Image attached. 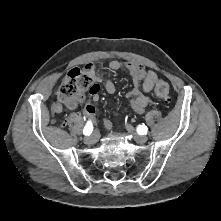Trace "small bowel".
Returning a JSON list of instances; mask_svg holds the SVG:
<instances>
[{"label": "small bowel", "mask_w": 221, "mask_h": 221, "mask_svg": "<svg viewBox=\"0 0 221 221\" xmlns=\"http://www.w3.org/2000/svg\"><path fill=\"white\" fill-rule=\"evenodd\" d=\"M108 67L112 71L126 70L133 78L134 88L128 92L129 98L134 111L138 114L144 112V109L151 103V99L148 93L155 87L158 76L152 71L144 68L143 66L130 61H118L114 60L108 64ZM86 71L95 83H102L103 77L99 73L98 69L93 64L86 65ZM105 90L108 94H113L116 90L115 84L112 79H107L104 83ZM88 100L84 107V115L87 119H93L95 113L94 103L99 100L100 89L97 84H92L87 89ZM79 101L69 100L57 102L54 105V111L59 113L64 108L68 110H74L78 107ZM107 129H111L112 125L108 120L104 121Z\"/></svg>", "instance_id": "obj_1"}]
</instances>
